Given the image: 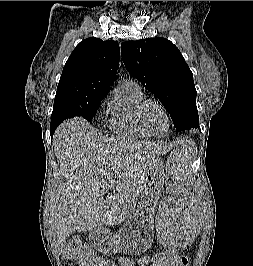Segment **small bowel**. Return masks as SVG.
I'll return each instance as SVG.
<instances>
[{
    "label": "small bowel",
    "mask_w": 253,
    "mask_h": 266,
    "mask_svg": "<svg viewBox=\"0 0 253 266\" xmlns=\"http://www.w3.org/2000/svg\"><path fill=\"white\" fill-rule=\"evenodd\" d=\"M149 258L144 257L139 261V266H143V263L146 262ZM120 266H134L133 261L128 257H121L119 259Z\"/></svg>",
    "instance_id": "1"
}]
</instances>
